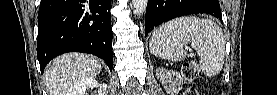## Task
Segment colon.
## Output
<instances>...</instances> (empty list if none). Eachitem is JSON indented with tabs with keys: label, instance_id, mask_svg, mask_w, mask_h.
Segmentation results:
<instances>
[{
	"label": "colon",
	"instance_id": "1",
	"mask_svg": "<svg viewBox=\"0 0 277 95\" xmlns=\"http://www.w3.org/2000/svg\"><path fill=\"white\" fill-rule=\"evenodd\" d=\"M182 74L188 86L185 89L184 95L198 94L193 81L199 74V66L196 62H188L182 67Z\"/></svg>",
	"mask_w": 277,
	"mask_h": 95
}]
</instances>
